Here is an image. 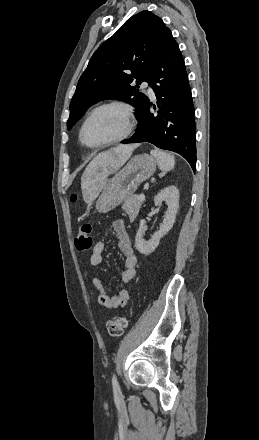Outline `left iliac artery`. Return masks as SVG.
<instances>
[{
    "label": "left iliac artery",
    "mask_w": 259,
    "mask_h": 440,
    "mask_svg": "<svg viewBox=\"0 0 259 440\" xmlns=\"http://www.w3.org/2000/svg\"><path fill=\"white\" fill-rule=\"evenodd\" d=\"M112 385H113V387H114L115 389H118V388H119V384H118V381H117V378H116V375H115V374H114L113 377H112Z\"/></svg>",
    "instance_id": "obj_1"
}]
</instances>
